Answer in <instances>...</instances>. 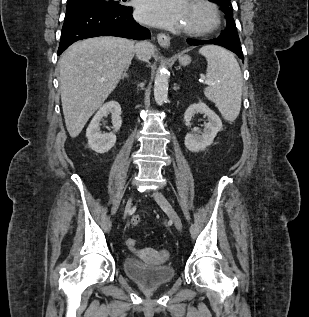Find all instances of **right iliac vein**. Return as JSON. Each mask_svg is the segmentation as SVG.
I'll return each instance as SVG.
<instances>
[{"label": "right iliac vein", "instance_id": "right-iliac-vein-1", "mask_svg": "<svg viewBox=\"0 0 309 317\" xmlns=\"http://www.w3.org/2000/svg\"><path fill=\"white\" fill-rule=\"evenodd\" d=\"M132 206V197H130L126 203V206H125V212H124V219L126 218L130 208Z\"/></svg>", "mask_w": 309, "mask_h": 317}]
</instances>
